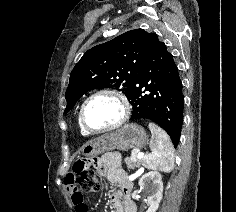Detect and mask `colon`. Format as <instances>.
I'll return each mask as SVG.
<instances>
[{"instance_id":"5ec220e1","label":"colon","mask_w":236,"mask_h":212,"mask_svg":"<svg viewBox=\"0 0 236 212\" xmlns=\"http://www.w3.org/2000/svg\"><path fill=\"white\" fill-rule=\"evenodd\" d=\"M78 175V187L87 192H96L99 190V182L92 161H78L74 167Z\"/></svg>"}]
</instances>
